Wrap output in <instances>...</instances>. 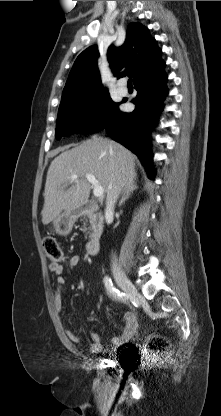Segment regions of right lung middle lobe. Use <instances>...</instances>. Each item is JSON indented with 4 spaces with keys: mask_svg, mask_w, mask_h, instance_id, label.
<instances>
[{
    "mask_svg": "<svg viewBox=\"0 0 221 416\" xmlns=\"http://www.w3.org/2000/svg\"><path fill=\"white\" fill-rule=\"evenodd\" d=\"M119 103L108 92L60 104L56 138L74 133L91 134L103 129Z\"/></svg>",
    "mask_w": 221,
    "mask_h": 416,
    "instance_id": "dd1d6c3e",
    "label": "right lung middle lobe"
}]
</instances>
